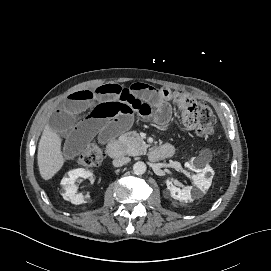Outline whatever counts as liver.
Listing matches in <instances>:
<instances>
[{
    "instance_id": "6515ba94",
    "label": "liver",
    "mask_w": 271,
    "mask_h": 271,
    "mask_svg": "<svg viewBox=\"0 0 271 271\" xmlns=\"http://www.w3.org/2000/svg\"><path fill=\"white\" fill-rule=\"evenodd\" d=\"M62 139L48 124L44 127L38 146V167L44 180L51 179L63 166Z\"/></svg>"
}]
</instances>
